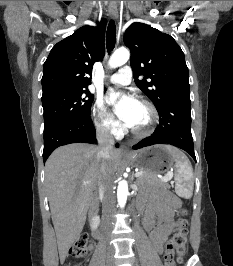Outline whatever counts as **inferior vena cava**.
I'll use <instances>...</instances> for the list:
<instances>
[{
  "label": "inferior vena cava",
  "mask_w": 233,
  "mask_h": 266,
  "mask_svg": "<svg viewBox=\"0 0 233 266\" xmlns=\"http://www.w3.org/2000/svg\"><path fill=\"white\" fill-rule=\"evenodd\" d=\"M98 140L97 158L101 162V173L99 176V194L103 198L102 213L103 222L107 229L112 226L113 212L115 209V197L113 194V177L106 170V161L110 158L113 149L114 138L110 125H99L96 129Z\"/></svg>",
  "instance_id": "1"
}]
</instances>
